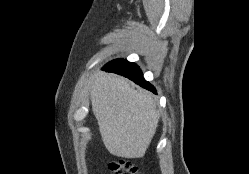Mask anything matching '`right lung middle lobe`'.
Listing matches in <instances>:
<instances>
[{"mask_svg":"<svg viewBox=\"0 0 249 174\" xmlns=\"http://www.w3.org/2000/svg\"><path fill=\"white\" fill-rule=\"evenodd\" d=\"M119 60H121V59H117V60H114V61H119ZM114 61H111V62H114Z\"/></svg>","mask_w":249,"mask_h":174,"instance_id":"right-lung-middle-lobe-1","label":"right lung middle lobe"}]
</instances>
